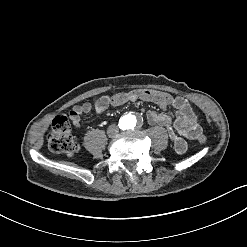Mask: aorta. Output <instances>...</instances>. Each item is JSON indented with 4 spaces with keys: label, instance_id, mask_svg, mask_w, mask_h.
Segmentation results:
<instances>
[{
    "label": "aorta",
    "instance_id": "762f6f07",
    "mask_svg": "<svg viewBox=\"0 0 247 247\" xmlns=\"http://www.w3.org/2000/svg\"><path fill=\"white\" fill-rule=\"evenodd\" d=\"M135 122H136L135 118L127 119L126 122H124V127L130 128L135 125Z\"/></svg>",
    "mask_w": 247,
    "mask_h": 247
}]
</instances>
